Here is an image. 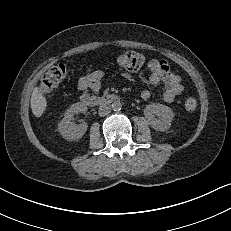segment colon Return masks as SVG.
<instances>
[{
    "mask_svg": "<svg viewBox=\"0 0 231 231\" xmlns=\"http://www.w3.org/2000/svg\"><path fill=\"white\" fill-rule=\"evenodd\" d=\"M116 64L126 71L135 72L145 64V57L134 51H127L116 58ZM68 76V69L64 64H58L47 71L42 77L40 89L47 94L57 88ZM186 111L193 112L197 108V100L188 97L184 101Z\"/></svg>",
    "mask_w": 231,
    "mask_h": 231,
    "instance_id": "obj_1",
    "label": "colon"
}]
</instances>
